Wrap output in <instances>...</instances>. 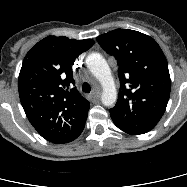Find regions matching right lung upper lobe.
<instances>
[{"label":"right lung upper lobe","instance_id":"cb5924a9","mask_svg":"<svg viewBox=\"0 0 187 187\" xmlns=\"http://www.w3.org/2000/svg\"><path fill=\"white\" fill-rule=\"evenodd\" d=\"M94 40L48 36L25 56L18 79L19 96L27 118L46 140L64 144L85 126L89 101L74 87V59Z\"/></svg>","mask_w":187,"mask_h":187}]
</instances>
